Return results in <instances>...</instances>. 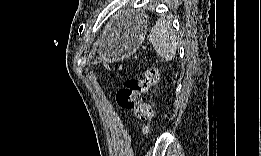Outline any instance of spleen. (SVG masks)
I'll return each instance as SVG.
<instances>
[{"label":"spleen","mask_w":261,"mask_h":156,"mask_svg":"<svg viewBox=\"0 0 261 156\" xmlns=\"http://www.w3.org/2000/svg\"><path fill=\"white\" fill-rule=\"evenodd\" d=\"M176 35L170 24L164 19H158L149 35L155 51L166 61H171L176 54Z\"/></svg>","instance_id":"spleen-1"}]
</instances>
